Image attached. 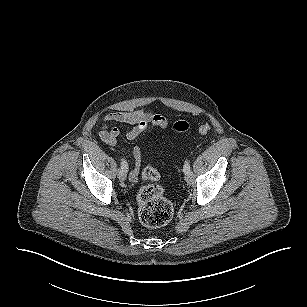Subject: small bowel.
I'll return each instance as SVG.
<instances>
[{
    "mask_svg": "<svg viewBox=\"0 0 307 307\" xmlns=\"http://www.w3.org/2000/svg\"><path fill=\"white\" fill-rule=\"evenodd\" d=\"M112 123H120L131 125L132 127L126 131L125 136L128 140H134L140 136L149 125L155 126L162 130L168 128V120L161 114L154 113L145 109L133 111H119L109 113L102 124L99 136L100 139L109 146H116L120 129L110 126ZM134 167L129 172V180L137 181L140 173L142 148L136 146L133 149Z\"/></svg>",
    "mask_w": 307,
    "mask_h": 307,
    "instance_id": "c3829d8e",
    "label": "small bowel"
}]
</instances>
